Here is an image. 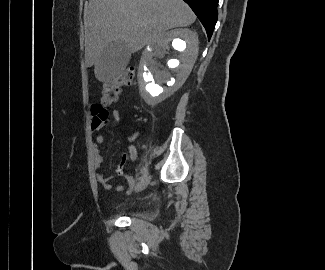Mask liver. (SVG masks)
I'll return each mask as SVG.
<instances>
[{"label": "liver", "instance_id": "6515ba94", "mask_svg": "<svg viewBox=\"0 0 325 270\" xmlns=\"http://www.w3.org/2000/svg\"><path fill=\"white\" fill-rule=\"evenodd\" d=\"M196 19L183 0H89L84 9L85 62L96 66L104 49L113 41H123L131 53L161 41L166 31L187 27Z\"/></svg>", "mask_w": 325, "mask_h": 270}]
</instances>
